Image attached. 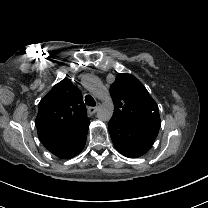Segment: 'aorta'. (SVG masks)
I'll return each instance as SVG.
<instances>
[{
	"label": "aorta",
	"mask_w": 208,
	"mask_h": 208,
	"mask_svg": "<svg viewBox=\"0 0 208 208\" xmlns=\"http://www.w3.org/2000/svg\"><path fill=\"white\" fill-rule=\"evenodd\" d=\"M113 115V104L103 103L97 109V118L100 121H109Z\"/></svg>",
	"instance_id": "obj_1"
}]
</instances>
